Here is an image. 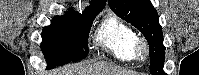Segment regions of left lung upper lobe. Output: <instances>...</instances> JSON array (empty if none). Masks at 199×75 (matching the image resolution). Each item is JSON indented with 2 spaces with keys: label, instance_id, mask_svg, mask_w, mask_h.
I'll use <instances>...</instances> for the list:
<instances>
[{
  "label": "left lung upper lobe",
  "instance_id": "1",
  "mask_svg": "<svg viewBox=\"0 0 199 75\" xmlns=\"http://www.w3.org/2000/svg\"><path fill=\"white\" fill-rule=\"evenodd\" d=\"M110 8L123 20L131 23L149 43L150 73L166 75L163 71L165 47L159 16L150 0H108Z\"/></svg>",
  "mask_w": 199,
  "mask_h": 75
}]
</instances>
